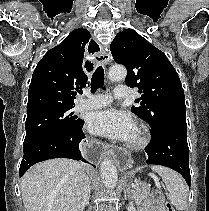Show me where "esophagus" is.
<instances>
[{"label":"esophagus","mask_w":209,"mask_h":211,"mask_svg":"<svg viewBox=\"0 0 209 211\" xmlns=\"http://www.w3.org/2000/svg\"><path fill=\"white\" fill-rule=\"evenodd\" d=\"M99 46L93 41L89 45V52H86L87 61H96L97 64L106 66L111 63V54L107 48L96 51ZM85 72H94L93 64H84ZM87 163H101L100 156H113L109 163H118L119 171H126L129 167L128 158L130 151H118V147H111L104 144H85Z\"/></svg>","instance_id":"esophagus-1"}]
</instances>
